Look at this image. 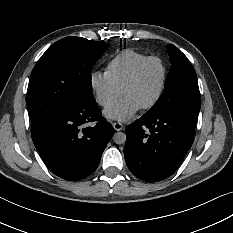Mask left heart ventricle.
<instances>
[{"label": "left heart ventricle", "mask_w": 233, "mask_h": 233, "mask_svg": "<svg viewBox=\"0 0 233 233\" xmlns=\"http://www.w3.org/2000/svg\"><path fill=\"white\" fill-rule=\"evenodd\" d=\"M163 78V68L158 60L149 62L133 85L122 95L133 98L141 107L149 104L157 95Z\"/></svg>", "instance_id": "b2bd125f"}]
</instances>
